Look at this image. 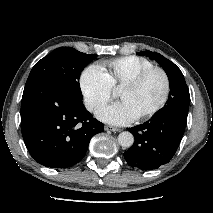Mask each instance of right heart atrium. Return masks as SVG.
Instances as JSON below:
<instances>
[{
    "mask_svg": "<svg viewBox=\"0 0 213 213\" xmlns=\"http://www.w3.org/2000/svg\"><path fill=\"white\" fill-rule=\"evenodd\" d=\"M79 84L89 111L98 110L112 98L113 88L106 72L99 65L87 66L80 75Z\"/></svg>",
    "mask_w": 213,
    "mask_h": 213,
    "instance_id": "d8ad5b80",
    "label": "right heart atrium"
}]
</instances>
